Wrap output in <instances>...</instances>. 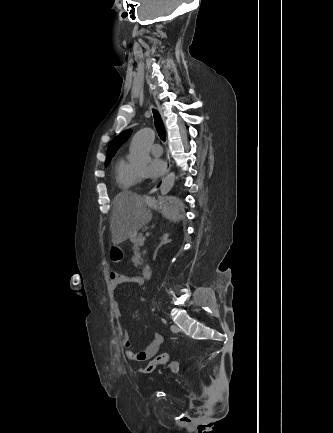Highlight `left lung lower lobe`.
Wrapping results in <instances>:
<instances>
[{"instance_id": "obj_1", "label": "left lung lower lobe", "mask_w": 333, "mask_h": 433, "mask_svg": "<svg viewBox=\"0 0 333 433\" xmlns=\"http://www.w3.org/2000/svg\"><path fill=\"white\" fill-rule=\"evenodd\" d=\"M179 206L176 204L175 198H170L165 205V212L169 215L178 213Z\"/></svg>"}]
</instances>
